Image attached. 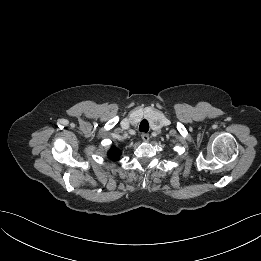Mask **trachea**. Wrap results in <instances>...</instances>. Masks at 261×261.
I'll use <instances>...</instances> for the list:
<instances>
[{
  "instance_id": "1",
  "label": "trachea",
  "mask_w": 261,
  "mask_h": 261,
  "mask_svg": "<svg viewBox=\"0 0 261 261\" xmlns=\"http://www.w3.org/2000/svg\"><path fill=\"white\" fill-rule=\"evenodd\" d=\"M139 130L141 132L147 133L149 130V123L146 119H143L139 125Z\"/></svg>"
}]
</instances>
